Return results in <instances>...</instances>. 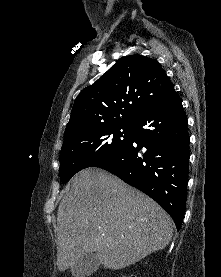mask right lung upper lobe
Masks as SVG:
<instances>
[{"label":"right lung upper lobe","mask_w":221,"mask_h":277,"mask_svg":"<svg viewBox=\"0 0 221 277\" xmlns=\"http://www.w3.org/2000/svg\"><path fill=\"white\" fill-rule=\"evenodd\" d=\"M173 90L157 60L136 54L126 56L77 96L64 141L96 126L133 124Z\"/></svg>","instance_id":"obj_1"}]
</instances>
